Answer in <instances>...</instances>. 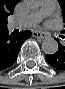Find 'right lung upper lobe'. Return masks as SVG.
Masks as SVG:
<instances>
[{
	"instance_id": "cb5924a9",
	"label": "right lung upper lobe",
	"mask_w": 65,
	"mask_h": 89,
	"mask_svg": "<svg viewBox=\"0 0 65 89\" xmlns=\"http://www.w3.org/2000/svg\"><path fill=\"white\" fill-rule=\"evenodd\" d=\"M18 0H0V25L7 22L10 13H13Z\"/></svg>"
}]
</instances>
